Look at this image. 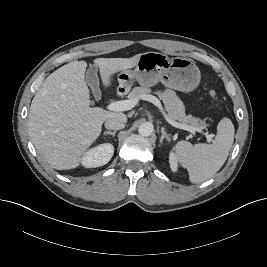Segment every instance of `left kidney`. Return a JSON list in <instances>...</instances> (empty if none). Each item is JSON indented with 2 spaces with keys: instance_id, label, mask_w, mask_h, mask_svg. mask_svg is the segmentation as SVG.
Here are the masks:
<instances>
[{
  "instance_id": "5707ae66",
  "label": "left kidney",
  "mask_w": 267,
  "mask_h": 267,
  "mask_svg": "<svg viewBox=\"0 0 267 267\" xmlns=\"http://www.w3.org/2000/svg\"><path fill=\"white\" fill-rule=\"evenodd\" d=\"M169 163H170V168L172 171H177L178 169V164H177V159L175 155L171 152L169 156Z\"/></svg>"
}]
</instances>
